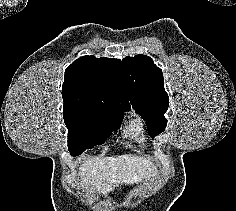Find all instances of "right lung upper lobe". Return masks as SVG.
Segmentation results:
<instances>
[{
  "mask_svg": "<svg viewBox=\"0 0 236 211\" xmlns=\"http://www.w3.org/2000/svg\"><path fill=\"white\" fill-rule=\"evenodd\" d=\"M63 110H129L130 96L122 62L118 59L83 56L65 70Z\"/></svg>",
  "mask_w": 236,
  "mask_h": 211,
  "instance_id": "1",
  "label": "right lung upper lobe"
}]
</instances>
